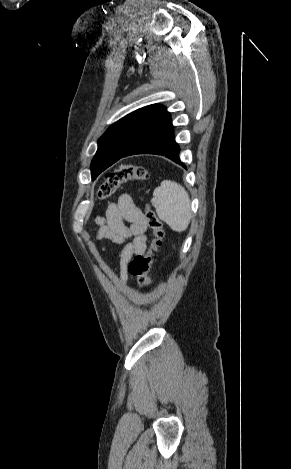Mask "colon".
Listing matches in <instances>:
<instances>
[{"mask_svg":"<svg viewBox=\"0 0 291 469\" xmlns=\"http://www.w3.org/2000/svg\"><path fill=\"white\" fill-rule=\"evenodd\" d=\"M148 181L149 173L145 167L135 163H126L108 172L104 181L100 184L97 195L105 199L113 195L121 184L131 181ZM145 219L152 230V240L149 248L141 255L135 256L129 263V273L135 278L136 283L145 287L151 283V266L154 254L159 250L164 238L163 223L156 213L147 207Z\"/></svg>","mask_w":291,"mask_h":469,"instance_id":"1","label":"colon"}]
</instances>
